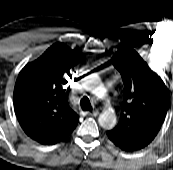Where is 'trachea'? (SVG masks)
<instances>
[{
	"instance_id": "trachea-1",
	"label": "trachea",
	"mask_w": 173,
	"mask_h": 170,
	"mask_svg": "<svg viewBox=\"0 0 173 170\" xmlns=\"http://www.w3.org/2000/svg\"><path fill=\"white\" fill-rule=\"evenodd\" d=\"M80 105L83 111H91L92 106L88 97H83L80 101Z\"/></svg>"
}]
</instances>
